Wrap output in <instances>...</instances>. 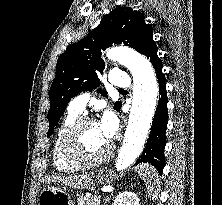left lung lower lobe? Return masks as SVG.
<instances>
[{
  "label": "left lung lower lobe",
  "mask_w": 222,
  "mask_h": 205,
  "mask_svg": "<svg viewBox=\"0 0 222 205\" xmlns=\"http://www.w3.org/2000/svg\"><path fill=\"white\" fill-rule=\"evenodd\" d=\"M147 56L154 66L159 83V102L152 122L151 131L144 151L135 165L140 163H151L162 173L165 166L164 148L166 145L165 131L168 122L166 78L162 73V61L157 56V46L153 40V35L147 38L141 52Z\"/></svg>",
  "instance_id": "left-lung-lower-lobe-1"
}]
</instances>
